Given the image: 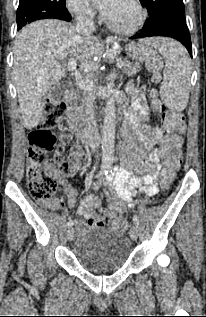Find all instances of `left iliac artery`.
<instances>
[{"label":"left iliac artery","mask_w":206,"mask_h":317,"mask_svg":"<svg viewBox=\"0 0 206 317\" xmlns=\"http://www.w3.org/2000/svg\"><path fill=\"white\" fill-rule=\"evenodd\" d=\"M133 223H134L135 226L139 225V219H138V217L136 215H134V217H133Z\"/></svg>","instance_id":"left-iliac-artery-1"}]
</instances>
